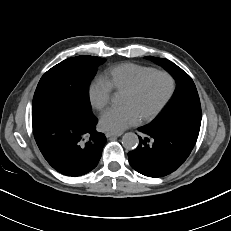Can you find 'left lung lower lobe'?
I'll return each mask as SVG.
<instances>
[{
  "label": "left lung lower lobe",
  "mask_w": 231,
  "mask_h": 231,
  "mask_svg": "<svg viewBox=\"0 0 231 231\" xmlns=\"http://www.w3.org/2000/svg\"><path fill=\"white\" fill-rule=\"evenodd\" d=\"M139 146L128 153L131 167L149 177L166 176L177 170L190 155L199 135V126L145 125L138 129Z\"/></svg>",
  "instance_id": "obj_1"
}]
</instances>
